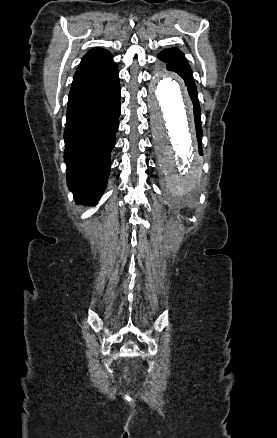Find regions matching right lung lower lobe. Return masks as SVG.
<instances>
[{
    "label": "right lung lower lobe",
    "mask_w": 277,
    "mask_h": 438,
    "mask_svg": "<svg viewBox=\"0 0 277 438\" xmlns=\"http://www.w3.org/2000/svg\"><path fill=\"white\" fill-rule=\"evenodd\" d=\"M119 74L72 87L64 132L67 183L77 204L95 205L106 188L120 116Z\"/></svg>",
    "instance_id": "right-lung-lower-lobe-1"
}]
</instances>
